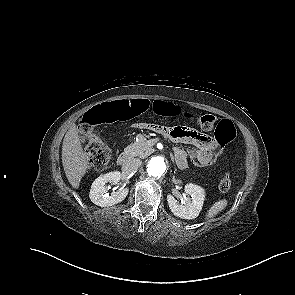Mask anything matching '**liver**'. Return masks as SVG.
Here are the masks:
<instances>
[{
	"label": "liver",
	"instance_id": "1",
	"mask_svg": "<svg viewBox=\"0 0 295 295\" xmlns=\"http://www.w3.org/2000/svg\"><path fill=\"white\" fill-rule=\"evenodd\" d=\"M62 164L69 183L77 189L89 163L75 126L71 127L64 137Z\"/></svg>",
	"mask_w": 295,
	"mask_h": 295
}]
</instances>
